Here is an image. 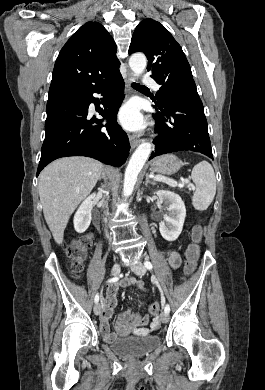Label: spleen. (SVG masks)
Wrapping results in <instances>:
<instances>
[{
	"instance_id": "obj_1",
	"label": "spleen",
	"mask_w": 265,
	"mask_h": 390,
	"mask_svg": "<svg viewBox=\"0 0 265 390\" xmlns=\"http://www.w3.org/2000/svg\"><path fill=\"white\" fill-rule=\"evenodd\" d=\"M191 178L196 185L192 205L196 210H206L216 194V178L213 167L207 161L194 166Z\"/></svg>"
}]
</instances>
